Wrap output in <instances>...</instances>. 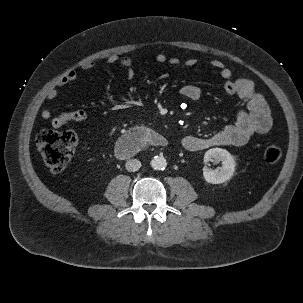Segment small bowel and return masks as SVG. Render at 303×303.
I'll return each instance as SVG.
<instances>
[{"label": "small bowel", "instance_id": "1", "mask_svg": "<svg viewBox=\"0 0 303 303\" xmlns=\"http://www.w3.org/2000/svg\"><path fill=\"white\" fill-rule=\"evenodd\" d=\"M158 64H169L176 68H191L196 65L197 59L190 58L181 60L176 56H168L165 53H158L155 56ZM111 65H119L123 68L129 80L135 76L134 64L131 58L126 56L111 55L107 59ZM211 66L216 69L224 80V91L228 97L240 98L244 106L238 109L233 124L225 126L220 131L210 136H185L182 138V146L191 152L202 151L214 146H240L246 144L256 134H266L272 127L270 110L265 98L257 93L254 84L246 78L234 79L232 71L219 60H212ZM95 67L93 61L83 64L84 70H91ZM77 72L69 70L57 82V86L63 87L75 81ZM180 94L189 100H199L203 96L202 88L196 84H186L180 88ZM46 97L54 100L58 97L56 88H51ZM41 116L44 119H51L53 128L58 129L72 122H81L87 118V112L83 109L66 112L52 118L49 109H43Z\"/></svg>", "mask_w": 303, "mask_h": 303}]
</instances>
